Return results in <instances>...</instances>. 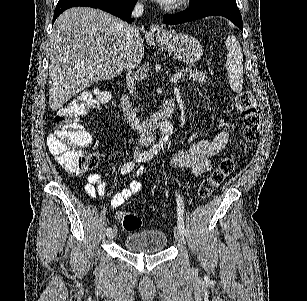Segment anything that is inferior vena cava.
<instances>
[{"label":"inferior vena cava","instance_id":"1","mask_svg":"<svg viewBox=\"0 0 307 301\" xmlns=\"http://www.w3.org/2000/svg\"><path fill=\"white\" fill-rule=\"evenodd\" d=\"M144 12V4L142 0H138L136 2L133 10H132V16H135V18H138V16H142ZM126 34L128 38V46L126 48V54L124 56V64H125V70H126V84L127 88L131 94V96H134L136 98V82L132 76L133 74V68H135L134 64V54H133V48L131 46L132 42L136 40L138 34H140L138 30V26H126ZM134 155H139L138 146H134Z\"/></svg>","mask_w":307,"mask_h":301}]
</instances>
